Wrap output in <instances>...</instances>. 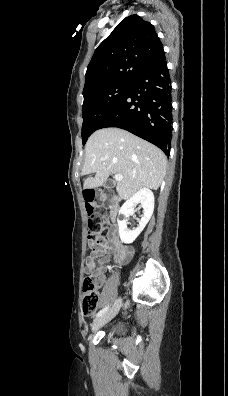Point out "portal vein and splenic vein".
<instances>
[{"mask_svg":"<svg viewBox=\"0 0 228 396\" xmlns=\"http://www.w3.org/2000/svg\"><path fill=\"white\" fill-rule=\"evenodd\" d=\"M114 178L116 181H121L123 179V176L121 174H116Z\"/></svg>","mask_w":228,"mask_h":396,"instance_id":"18ae733b","label":"portal vein and splenic vein"}]
</instances>
